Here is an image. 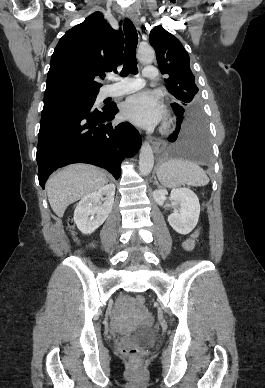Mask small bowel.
I'll list each match as a JSON object with an SVG mask.
<instances>
[{"mask_svg": "<svg viewBox=\"0 0 265 388\" xmlns=\"http://www.w3.org/2000/svg\"><path fill=\"white\" fill-rule=\"evenodd\" d=\"M199 232L200 230L197 229L192 235L190 238H188L184 244H183V247L186 249V250H191L193 247H194V244H195V241L199 235Z\"/></svg>", "mask_w": 265, "mask_h": 388, "instance_id": "1", "label": "small bowel"}]
</instances>
